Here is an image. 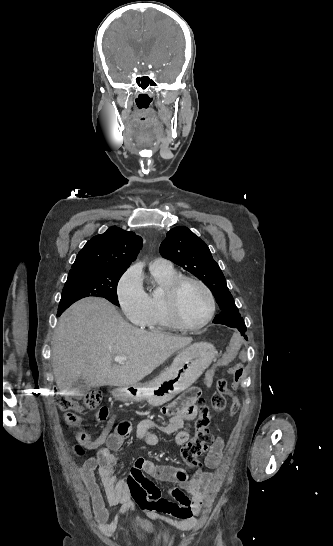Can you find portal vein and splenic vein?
<instances>
[{
  "instance_id": "portal-vein-and-splenic-vein-1",
  "label": "portal vein and splenic vein",
  "mask_w": 333,
  "mask_h": 546,
  "mask_svg": "<svg viewBox=\"0 0 333 546\" xmlns=\"http://www.w3.org/2000/svg\"><path fill=\"white\" fill-rule=\"evenodd\" d=\"M127 360V357L116 355L114 357V361L117 363H122Z\"/></svg>"
}]
</instances>
